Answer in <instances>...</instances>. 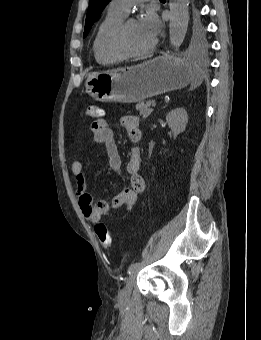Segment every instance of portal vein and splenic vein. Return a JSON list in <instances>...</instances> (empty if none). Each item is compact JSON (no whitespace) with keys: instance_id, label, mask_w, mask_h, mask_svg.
<instances>
[{"instance_id":"1","label":"portal vein and splenic vein","mask_w":261,"mask_h":340,"mask_svg":"<svg viewBox=\"0 0 261 340\" xmlns=\"http://www.w3.org/2000/svg\"><path fill=\"white\" fill-rule=\"evenodd\" d=\"M152 107H156V102H153V103H152Z\"/></svg>"}]
</instances>
